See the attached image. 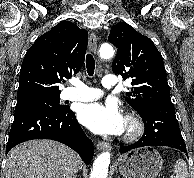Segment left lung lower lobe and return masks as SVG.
<instances>
[{"mask_svg": "<svg viewBox=\"0 0 194 178\" xmlns=\"http://www.w3.org/2000/svg\"><path fill=\"white\" fill-rule=\"evenodd\" d=\"M138 113L143 119L145 132L136 143L120 147L121 154L136 148L157 145L179 149L188 156L172 103L145 105Z\"/></svg>", "mask_w": 194, "mask_h": 178, "instance_id": "obj_1", "label": "left lung lower lobe"}]
</instances>
